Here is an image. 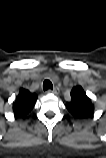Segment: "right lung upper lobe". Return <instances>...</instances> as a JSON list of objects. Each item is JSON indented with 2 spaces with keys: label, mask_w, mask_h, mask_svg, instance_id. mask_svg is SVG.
<instances>
[{
  "label": "right lung upper lobe",
  "mask_w": 106,
  "mask_h": 158,
  "mask_svg": "<svg viewBox=\"0 0 106 158\" xmlns=\"http://www.w3.org/2000/svg\"><path fill=\"white\" fill-rule=\"evenodd\" d=\"M37 95L26 89H20L19 95L13 103V112L16 118L25 117L34 107Z\"/></svg>",
  "instance_id": "obj_1"
}]
</instances>
